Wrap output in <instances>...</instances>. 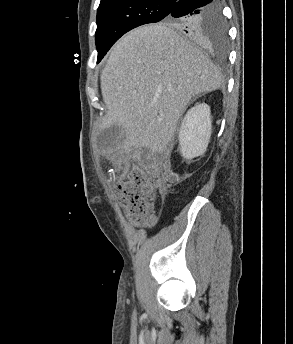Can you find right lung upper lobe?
<instances>
[{
    "instance_id": "1",
    "label": "right lung upper lobe",
    "mask_w": 293,
    "mask_h": 344,
    "mask_svg": "<svg viewBox=\"0 0 293 344\" xmlns=\"http://www.w3.org/2000/svg\"><path fill=\"white\" fill-rule=\"evenodd\" d=\"M103 1H106V0H101V2ZM168 1L176 2L177 0H168Z\"/></svg>"
}]
</instances>
